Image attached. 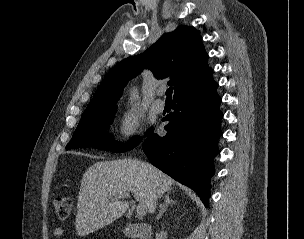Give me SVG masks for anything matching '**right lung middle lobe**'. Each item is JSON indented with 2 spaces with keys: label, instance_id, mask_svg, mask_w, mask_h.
<instances>
[{
  "label": "right lung middle lobe",
  "instance_id": "dd1d6c3e",
  "mask_svg": "<svg viewBox=\"0 0 304 239\" xmlns=\"http://www.w3.org/2000/svg\"><path fill=\"white\" fill-rule=\"evenodd\" d=\"M115 111L116 106H111L103 109L100 112L82 117V120L78 124L71 141L66 146V150L94 146L102 150L123 152L139 144L141 138L134 137L131 140L130 146L124 148L114 143L106 135V129L113 122L112 116ZM151 131L152 130H149L147 135H149Z\"/></svg>",
  "mask_w": 304,
  "mask_h": 239
}]
</instances>
